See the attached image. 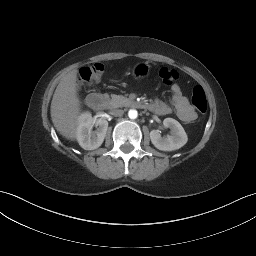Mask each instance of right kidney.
I'll list each match as a JSON object with an SVG mask.
<instances>
[{"label":"right kidney","mask_w":256,"mask_h":256,"mask_svg":"<svg viewBox=\"0 0 256 256\" xmlns=\"http://www.w3.org/2000/svg\"><path fill=\"white\" fill-rule=\"evenodd\" d=\"M96 130L92 131L93 126ZM108 129V122L105 119H95L90 112L79 115L77 127V141L85 150H94L103 143Z\"/></svg>","instance_id":"1"}]
</instances>
